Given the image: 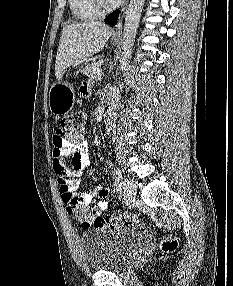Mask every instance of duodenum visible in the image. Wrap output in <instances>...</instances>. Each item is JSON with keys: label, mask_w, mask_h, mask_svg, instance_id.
Wrapping results in <instances>:
<instances>
[{"label": "duodenum", "mask_w": 233, "mask_h": 286, "mask_svg": "<svg viewBox=\"0 0 233 286\" xmlns=\"http://www.w3.org/2000/svg\"><path fill=\"white\" fill-rule=\"evenodd\" d=\"M113 107L111 103H107L103 110V121L105 124H109L112 119Z\"/></svg>", "instance_id": "obj_1"}]
</instances>
